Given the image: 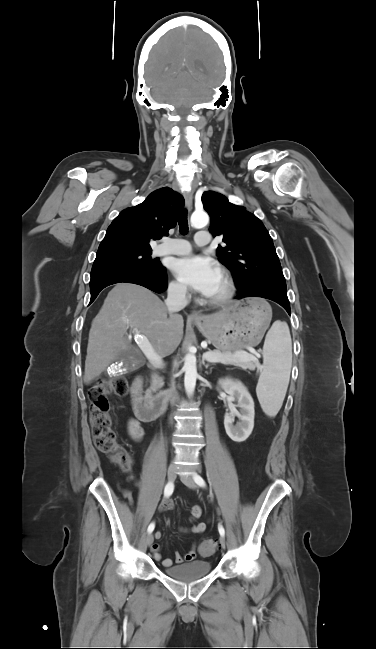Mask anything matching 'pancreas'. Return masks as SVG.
I'll return each instance as SVG.
<instances>
[{"label": "pancreas", "mask_w": 376, "mask_h": 649, "mask_svg": "<svg viewBox=\"0 0 376 649\" xmlns=\"http://www.w3.org/2000/svg\"><path fill=\"white\" fill-rule=\"evenodd\" d=\"M237 352L243 353L244 351L240 350ZM206 353H221L219 350H213L209 351ZM205 353V354H206ZM229 353V352H226ZM225 354V353H222ZM225 365H233L236 367H240L244 370L249 369V370H255L258 364V359L256 361L249 360V361H226V362H220ZM164 385L163 378L160 377L158 374H153L152 375V380H151V386L148 389V393L156 392L158 389H160Z\"/></svg>", "instance_id": "obj_1"}]
</instances>
